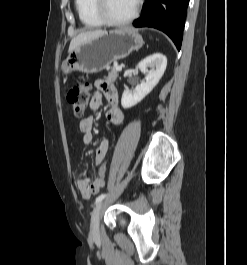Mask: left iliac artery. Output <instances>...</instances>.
<instances>
[{"label":"left iliac artery","instance_id":"obj_1","mask_svg":"<svg viewBox=\"0 0 247 265\" xmlns=\"http://www.w3.org/2000/svg\"><path fill=\"white\" fill-rule=\"evenodd\" d=\"M107 195L106 194H101L99 195L96 200H95V204H98L99 202H101Z\"/></svg>","mask_w":247,"mask_h":265}]
</instances>
